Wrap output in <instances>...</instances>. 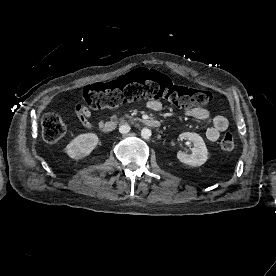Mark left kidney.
<instances>
[{
    "instance_id": "1",
    "label": "left kidney",
    "mask_w": 276,
    "mask_h": 276,
    "mask_svg": "<svg viewBox=\"0 0 276 276\" xmlns=\"http://www.w3.org/2000/svg\"><path fill=\"white\" fill-rule=\"evenodd\" d=\"M179 138L181 140H189L193 143L191 154H186L183 152L177 153V158L180 162L193 167H197L203 165L207 161L208 150L203 138L199 134L192 132H184L180 134Z\"/></svg>"
}]
</instances>
